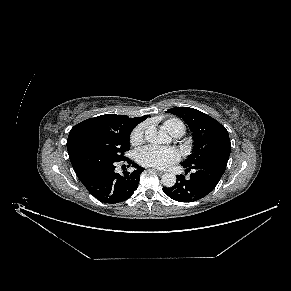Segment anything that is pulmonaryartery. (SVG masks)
<instances>
[{
    "label": "pulmonary artery",
    "instance_id": "pulmonary-artery-1",
    "mask_svg": "<svg viewBox=\"0 0 291 291\" xmlns=\"http://www.w3.org/2000/svg\"><path fill=\"white\" fill-rule=\"evenodd\" d=\"M183 134H182V132H176V133H174L172 136L174 137V138H179V137H181Z\"/></svg>",
    "mask_w": 291,
    "mask_h": 291
}]
</instances>
